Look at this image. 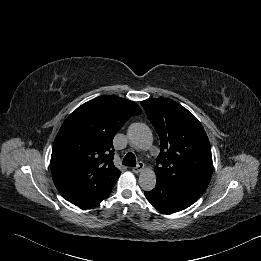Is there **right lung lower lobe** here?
<instances>
[{"instance_id": "right-lung-lower-lobe-1", "label": "right lung lower lobe", "mask_w": 261, "mask_h": 261, "mask_svg": "<svg viewBox=\"0 0 261 261\" xmlns=\"http://www.w3.org/2000/svg\"><path fill=\"white\" fill-rule=\"evenodd\" d=\"M113 188H111L108 192H106L104 195L100 196L99 198H96L90 202L84 203V204H80L79 206L81 207H85V208H89V207H93L97 204H99L103 199H105L112 191Z\"/></svg>"}]
</instances>
